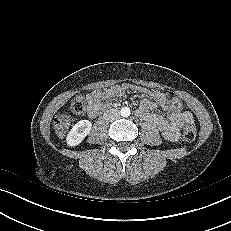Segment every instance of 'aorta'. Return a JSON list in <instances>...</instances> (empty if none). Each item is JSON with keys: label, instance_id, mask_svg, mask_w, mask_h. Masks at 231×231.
<instances>
[{"label": "aorta", "instance_id": "762f6f07", "mask_svg": "<svg viewBox=\"0 0 231 231\" xmlns=\"http://www.w3.org/2000/svg\"><path fill=\"white\" fill-rule=\"evenodd\" d=\"M121 116L123 117H128L130 115V108L128 107H123L120 111Z\"/></svg>", "mask_w": 231, "mask_h": 231}]
</instances>
